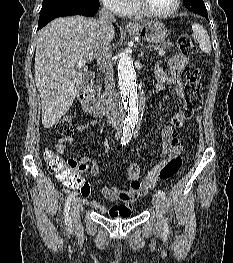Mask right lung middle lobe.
<instances>
[{
	"instance_id": "1",
	"label": "right lung middle lobe",
	"mask_w": 233,
	"mask_h": 263,
	"mask_svg": "<svg viewBox=\"0 0 233 263\" xmlns=\"http://www.w3.org/2000/svg\"><path fill=\"white\" fill-rule=\"evenodd\" d=\"M84 2L100 5L98 0H43L38 23L49 22L59 16L71 15Z\"/></svg>"
}]
</instances>
